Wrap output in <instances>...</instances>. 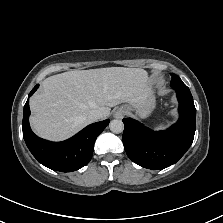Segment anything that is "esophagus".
<instances>
[{"instance_id": "esophagus-1", "label": "esophagus", "mask_w": 223, "mask_h": 223, "mask_svg": "<svg viewBox=\"0 0 223 223\" xmlns=\"http://www.w3.org/2000/svg\"><path fill=\"white\" fill-rule=\"evenodd\" d=\"M126 114V109L125 107H119L114 111V117L115 118H123Z\"/></svg>"}]
</instances>
